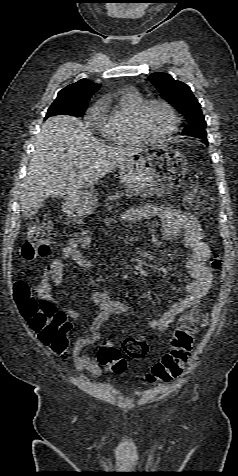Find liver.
I'll return each mask as SVG.
<instances>
[{"label":"liver","mask_w":238,"mask_h":476,"mask_svg":"<svg viewBox=\"0 0 238 476\" xmlns=\"http://www.w3.org/2000/svg\"><path fill=\"white\" fill-rule=\"evenodd\" d=\"M142 148L102 144L78 118L58 115L42 125L20 193L23 217H32L49 196L63 197L130 161ZM74 170H78L74 173Z\"/></svg>","instance_id":"6515ba94"}]
</instances>
